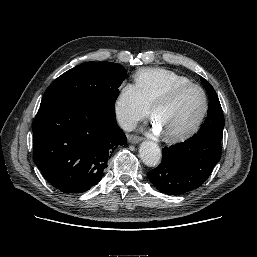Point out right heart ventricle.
<instances>
[{
  "label": "right heart ventricle",
  "instance_id": "right-heart-ventricle-1",
  "mask_svg": "<svg viewBox=\"0 0 257 257\" xmlns=\"http://www.w3.org/2000/svg\"><path fill=\"white\" fill-rule=\"evenodd\" d=\"M134 80L149 106L173 87L191 83L187 77L164 68L140 69L134 74Z\"/></svg>",
  "mask_w": 257,
  "mask_h": 257
}]
</instances>
